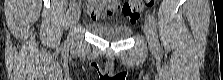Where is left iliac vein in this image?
<instances>
[{"label":"left iliac vein","instance_id":"4c4485c4","mask_svg":"<svg viewBox=\"0 0 223 80\" xmlns=\"http://www.w3.org/2000/svg\"><path fill=\"white\" fill-rule=\"evenodd\" d=\"M144 32H145L149 47L154 48L155 47V34L149 21H146L144 24Z\"/></svg>","mask_w":223,"mask_h":80}]
</instances>
